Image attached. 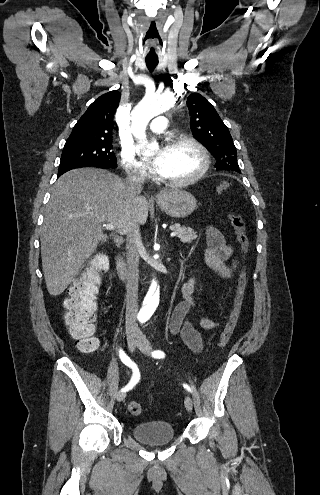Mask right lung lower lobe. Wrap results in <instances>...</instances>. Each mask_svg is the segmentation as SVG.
<instances>
[{
  "instance_id": "1",
  "label": "right lung lower lobe",
  "mask_w": 320,
  "mask_h": 495,
  "mask_svg": "<svg viewBox=\"0 0 320 495\" xmlns=\"http://www.w3.org/2000/svg\"><path fill=\"white\" fill-rule=\"evenodd\" d=\"M94 167H99V168H104V169L108 168V167H106V166H94ZM61 175H62V174H58V177H60Z\"/></svg>"
}]
</instances>
